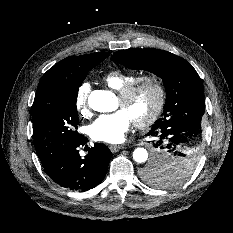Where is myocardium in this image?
Instances as JSON below:
<instances>
[{"mask_svg": "<svg viewBox=\"0 0 233 233\" xmlns=\"http://www.w3.org/2000/svg\"><path fill=\"white\" fill-rule=\"evenodd\" d=\"M151 83L155 90V102L150 113L143 119L133 120L138 128H147L154 124L163 112L166 103V89L162 78L152 72L143 73L135 76L131 81L126 83L119 91L118 98L123 102L130 99L135 89L142 83Z\"/></svg>", "mask_w": 233, "mask_h": 233, "instance_id": "myocardium-1", "label": "myocardium"}]
</instances>
